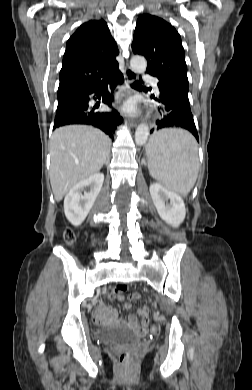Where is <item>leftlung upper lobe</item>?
Wrapping results in <instances>:
<instances>
[{
	"instance_id": "left-lung-upper-lobe-1",
	"label": "left lung upper lobe",
	"mask_w": 252,
	"mask_h": 390,
	"mask_svg": "<svg viewBox=\"0 0 252 390\" xmlns=\"http://www.w3.org/2000/svg\"><path fill=\"white\" fill-rule=\"evenodd\" d=\"M132 51L147 59V73L189 89L181 37L171 24L153 15H141L137 20Z\"/></svg>"
}]
</instances>
